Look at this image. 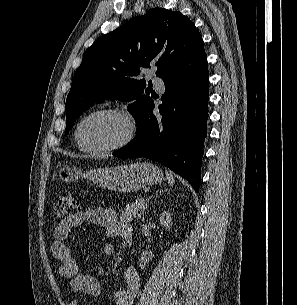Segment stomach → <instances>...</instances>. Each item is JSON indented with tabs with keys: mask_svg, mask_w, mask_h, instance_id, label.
Returning a JSON list of instances; mask_svg holds the SVG:
<instances>
[{
	"mask_svg": "<svg viewBox=\"0 0 297 305\" xmlns=\"http://www.w3.org/2000/svg\"><path fill=\"white\" fill-rule=\"evenodd\" d=\"M58 173L60 179L67 183L80 178L87 179L104 189L122 193L134 192L145 186L159 184L164 178L162 171L149 162L94 168L86 172L62 164L59 166Z\"/></svg>",
	"mask_w": 297,
	"mask_h": 305,
	"instance_id": "stomach-1",
	"label": "stomach"
}]
</instances>
